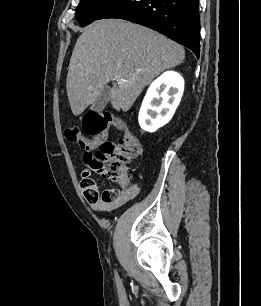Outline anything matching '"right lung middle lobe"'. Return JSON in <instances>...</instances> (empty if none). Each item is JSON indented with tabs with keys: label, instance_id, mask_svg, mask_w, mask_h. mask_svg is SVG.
Instances as JSON below:
<instances>
[{
	"label": "right lung middle lobe",
	"instance_id": "right-lung-middle-lobe-1",
	"mask_svg": "<svg viewBox=\"0 0 261 306\" xmlns=\"http://www.w3.org/2000/svg\"><path fill=\"white\" fill-rule=\"evenodd\" d=\"M116 0H80L76 17L81 26L88 25L106 11Z\"/></svg>",
	"mask_w": 261,
	"mask_h": 306
}]
</instances>
